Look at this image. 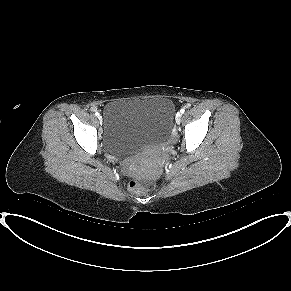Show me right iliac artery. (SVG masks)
<instances>
[{
	"label": "right iliac artery",
	"instance_id": "obj_1",
	"mask_svg": "<svg viewBox=\"0 0 291 291\" xmlns=\"http://www.w3.org/2000/svg\"><path fill=\"white\" fill-rule=\"evenodd\" d=\"M95 115H96V116H99V112L96 111V112H95Z\"/></svg>",
	"mask_w": 291,
	"mask_h": 291
}]
</instances>
